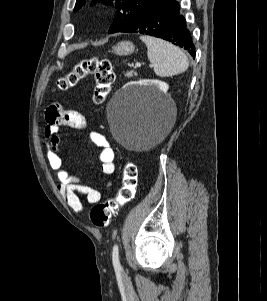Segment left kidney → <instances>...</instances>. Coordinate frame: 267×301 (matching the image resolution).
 I'll return each mask as SVG.
<instances>
[{
    "instance_id": "left-kidney-1",
    "label": "left kidney",
    "mask_w": 267,
    "mask_h": 301,
    "mask_svg": "<svg viewBox=\"0 0 267 301\" xmlns=\"http://www.w3.org/2000/svg\"><path fill=\"white\" fill-rule=\"evenodd\" d=\"M148 82H150V83H152V84H154V85H156L161 91H163V92H167V90H168V85L166 84V83H164V82H161V81H158V80H152V81H148ZM143 82H139V83H137V84H142ZM132 85H136V84H133V83H131V84H127L126 85V87H130V86H132Z\"/></svg>"
}]
</instances>
